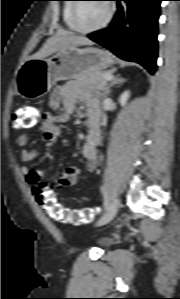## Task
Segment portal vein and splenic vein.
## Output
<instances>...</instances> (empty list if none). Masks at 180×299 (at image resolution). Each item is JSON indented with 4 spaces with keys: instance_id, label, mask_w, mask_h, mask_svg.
Listing matches in <instances>:
<instances>
[{
    "instance_id": "obj_1",
    "label": "portal vein and splenic vein",
    "mask_w": 180,
    "mask_h": 299,
    "mask_svg": "<svg viewBox=\"0 0 180 299\" xmlns=\"http://www.w3.org/2000/svg\"><path fill=\"white\" fill-rule=\"evenodd\" d=\"M113 78V76L111 74H107L104 79L107 81H110Z\"/></svg>"
}]
</instances>
